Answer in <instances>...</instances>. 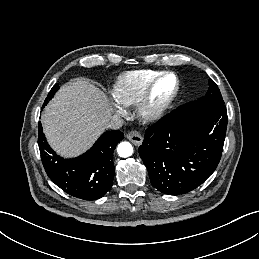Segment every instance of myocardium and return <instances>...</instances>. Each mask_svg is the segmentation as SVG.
Here are the masks:
<instances>
[{"instance_id":"obj_1","label":"myocardium","mask_w":259,"mask_h":259,"mask_svg":"<svg viewBox=\"0 0 259 259\" xmlns=\"http://www.w3.org/2000/svg\"><path fill=\"white\" fill-rule=\"evenodd\" d=\"M167 76H173L175 86L167 99L157 105L151 104V96L157 83ZM180 89V80L173 71H163L155 76L145 87L135 103V113L138 119L143 122H154L160 119L171 106L178 95Z\"/></svg>"}]
</instances>
